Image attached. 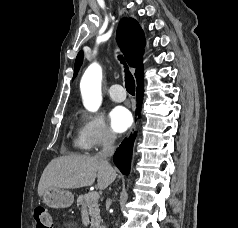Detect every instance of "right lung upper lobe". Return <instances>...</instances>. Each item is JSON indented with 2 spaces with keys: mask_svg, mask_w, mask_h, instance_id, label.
<instances>
[{
  "mask_svg": "<svg viewBox=\"0 0 238 228\" xmlns=\"http://www.w3.org/2000/svg\"><path fill=\"white\" fill-rule=\"evenodd\" d=\"M117 42L123 51L128 64L136 68L137 82L143 78L142 51L145 46L143 31L138 22L133 18L121 19L116 34ZM83 52L81 51L75 61L74 77L82 64Z\"/></svg>",
  "mask_w": 238,
  "mask_h": 228,
  "instance_id": "1",
  "label": "right lung upper lobe"
}]
</instances>
